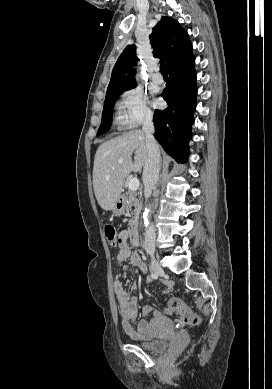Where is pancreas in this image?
I'll use <instances>...</instances> for the list:
<instances>
[{"mask_svg":"<svg viewBox=\"0 0 272 389\" xmlns=\"http://www.w3.org/2000/svg\"><path fill=\"white\" fill-rule=\"evenodd\" d=\"M137 193L134 191H128L125 194V209L127 212H131V208L134 207V210L131 212L132 219L129 221V227H137V221L139 214L142 209V202L137 197Z\"/></svg>","mask_w":272,"mask_h":389,"instance_id":"pancreas-1","label":"pancreas"}]
</instances>
